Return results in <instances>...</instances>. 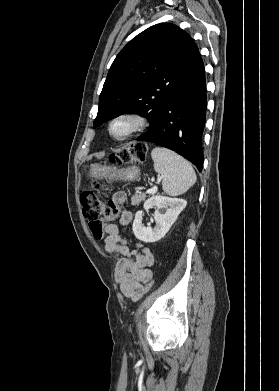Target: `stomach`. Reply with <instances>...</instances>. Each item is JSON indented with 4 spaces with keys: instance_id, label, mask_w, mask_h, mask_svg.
<instances>
[{
    "instance_id": "0dacf381",
    "label": "stomach",
    "mask_w": 279,
    "mask_h": 391,
    "mask_svg": "<svg viewBox=\"0 0 279 391\" xmlns=\"http://www.w3.org/2000/svg\"><path fill=\"white\" fill-rule=\"evenodd\" d=\"M140 170L138 167H128L117 169L116 167L103 166L101 164H91L88 172L90 178L106 180H124L134 181L139 178Z\"/></svg>"
}]
</instances>
